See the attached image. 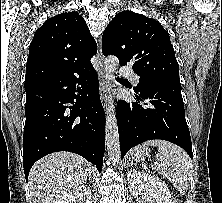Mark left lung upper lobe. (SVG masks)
Listing matches in <instances>:
<instances>
[{"label":"left lung upper lobe","instance_id":"5c2ea615","mask_svg":"<svg viewBox=\"0 0 222 203\" xmlns=\"http://www.w3.org/2000/svg\"><path fill=\"white\" fill-rule=\"evenodd\" d=\"M102 51L117 56L121 66L132 65L140 76L135 91L157 82L181 85L170 36L152 18L132 11L118 13L103 33Z\"/></svg>","mask_w":222,"mask_h":203}]
</instances>
